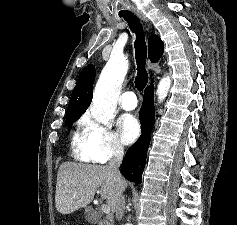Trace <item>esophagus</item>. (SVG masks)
<instances>
[{
	"label": "esophagus",
	"mask_w": 237,
	"mask_h": 225,
	"mask_svg": "<svg viewBox=\"0 0 237 225\" xmlns=\"http://www.w3.org/2000/svg\"><path fill=\"white\" fill-rule=\"evenodd\" d=\"M133 12L142 20V21H147L145 16L143 15L142 12H140L139 10L134 9Z\"/></svg>",
	"instance_id": "1"
}]
</instances>
